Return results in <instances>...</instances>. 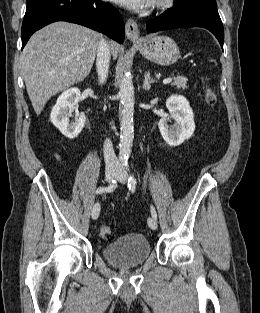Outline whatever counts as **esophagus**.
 <instances>
[{"label": "esophagus", "mask_w": 260, "mask_h": 313, "mask_svg": "<svg viewBox=\"0 0 260 313\" xmlns=\"http://www.w3.org/2000/svg\"><path fill=\"white\" fill-rule=\"evenodd\" d=\"M126 36L130 41L136 42L140 39V31L133 19H128L125 24Z\"/></svg>", "instance_id": "34e87169"}]
</instances>
